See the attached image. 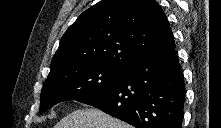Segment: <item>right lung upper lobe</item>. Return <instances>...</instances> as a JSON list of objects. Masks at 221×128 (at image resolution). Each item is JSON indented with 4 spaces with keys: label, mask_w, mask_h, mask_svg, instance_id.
<instances>
[{
    "label": "right lung upper lobe",
    "mask_w": 221,
    "mask_h": 128,
    "mask_svg": "<svg viewBox=\"0 0 221 128\" xmlns=\"http://www.w3.org/2000/svg\"><path fill=\"white\" fill-rule=\"evenodd\" d=\"M175 48L167 17L155 0H102L84 11L64 33L51 72L100 64L129 68Z\"/></svg>",
    "instance_id": "right-lung-upper-lobe-1"
}]
</instances>
